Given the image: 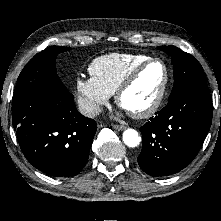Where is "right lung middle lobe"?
<instances>
[{"mask_svg": "<svg viewBox=\"0 0 221 221\" xmlns=\"http://www.w3.org/2000/svg\"><path fill=\"white\" fill-rule=\"evenodd\" d=\"M68 47H48L36 54L20 73L13 95V101L22 95L42 88L66 90L57 76L55 60L59 53L68 51Z\"/></svg>", "mask_w": 221, "mask_h": 221, "instance_id": "dd1d6c3e", "label": "right lung middle lobe"}]
</instances>
